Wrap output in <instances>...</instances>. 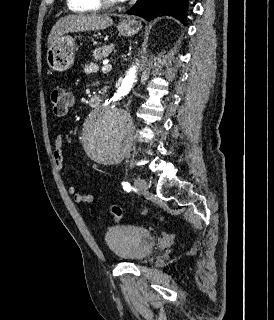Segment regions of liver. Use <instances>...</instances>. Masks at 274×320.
Instances as JSON below:
<instances>
[{"label": "liver", "instance_id": "obj_1", "mask_svg": "<svg viewBox=\"0 0 274 320\" xmlns=\"http://www.w3.org/2000/svg\"><path fill=\"white\" fill-rule=\"evenodd\" d=\"M113 26V20L103 14H71L56 22L48 36V46L56 44L64 34L69 32H95Z\"/></svg>", "mask_w": 274, "mask_h": 320}]
</instances>
